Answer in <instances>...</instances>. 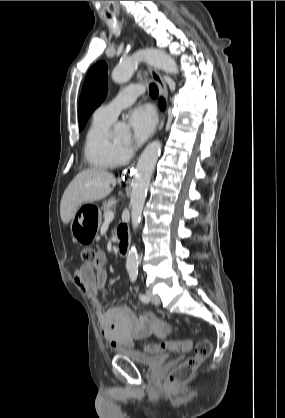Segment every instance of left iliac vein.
Masks as SVG:
<instances>
[{"instance_id": "4c4485c4", "label": "left iliac vein", "mask_w": 285, "mask_h": 418, "mask_svg": "<svg viewBox=\"0 0 285 418\" xmlns=\"http://www.w3.org/2000/svg\"><path fill=\"white\" fill-rule=\"evenodd\" d=\"M146 295L150 299V301H152L153 303H155L157 305L160 304L159 297L155 293H153V291L151 289H148L146 291Z\"/></svg>"}]
</instances>
